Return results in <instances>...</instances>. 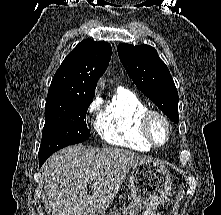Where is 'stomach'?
Wrapping results in <instances>:
<instances>
[{"mask_svg":"<svg viewBox=\"0 0 221 215\" xmlns=\"http://www.w3.org/2000/svg\"><path fill=\"white\" fill-rule=\"evenodd\" d=\"M171 188L172 176L164 164L153 160L136 164L129 178L132 201L122 215H155L156 208L168 199Z\"/></svg>","mask_w":221,"mask_h":215,"instance_id":"stomach-1","label":"stomach"}]
</instances>
